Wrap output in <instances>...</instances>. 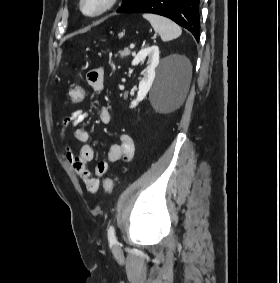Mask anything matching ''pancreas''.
<instances>
[{
  "label": "pancreas",
  "instance_id": "cf45deb5",
  "mask_svg": "<svg viewBox=\"0 0 280 283\" xmlns=\"http://www.w3.org/2000/svg\"><path fill=\"white\" fill-rule=\"evenodd\" d=\"M118 54L122 59H124L125 57H128L130 55V50L128 48H125L123 51H119L115 56L117 57Z\"/></svg>",
  "mask_w": 280,
  "mask_h": 283
}]
</instances>
